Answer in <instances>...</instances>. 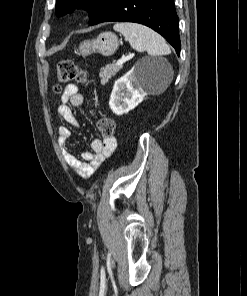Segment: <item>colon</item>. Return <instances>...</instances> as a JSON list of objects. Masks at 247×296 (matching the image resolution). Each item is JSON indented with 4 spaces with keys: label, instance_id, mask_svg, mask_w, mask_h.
<instances>
[{
    "label": "colon",
    "instance_id": "1",
    "mask_svg": "<svg viewBox=\"0 0 247 296\" xmlns=\"http://www.w3.org/2000/svg\"><path fill=\"white\" fill-rule=\"evenodd\" d=\"M78 82L84 84L87 82V73L82 65L71 61L62 60L58 64L57 69V83L54 87L55 92L62 90V85L68 82ZM97 127L105 140H109L113 137L115 132V123L109 117H99L97 119Z\"/></svg>",
    "mask_w": 247,
    "mask_h": 296
}]
</instances>
